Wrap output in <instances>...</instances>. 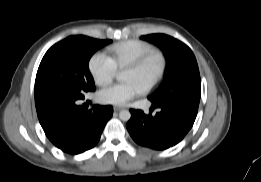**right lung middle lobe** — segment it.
Masks as SVG:
<instances>
[{"label":"right lung middle lobe","instance_id":"1","mask_svg":"<svg viewBox=\"0 0 261 182\" xmlns=\"http://www.w3.org/2000/svg\"><path fill=\"white\" fill-rule=\"evenodd\" d=\"M111 40L83 35L70 36L53 45L44 55L35 80V102L60 94L83 99L95 85L88 69L91 56Z\"/></svg>","mask_w":261,"mask_h":182}]
</instances>
